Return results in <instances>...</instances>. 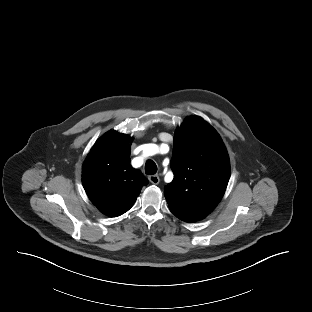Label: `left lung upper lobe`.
<instances>
[{"mask_svg": "<svg viewBox=\"0 0 312 312\" xmlns=\"http://www.w3.org/2000/svg\"><path fill=\"white\" fill-rule=\"evenodd\" d=\"M174 179L164 189L170 211L185 222L205 218L219 203L230 177L227 150L203 118L188 117L174 135Z\"/></svg>", "mask_w": 312, "mask_h": 312, "instance_id": "left-lung-upper-lobe-1", "label": "left lung upper lobe"}]
</instances>
